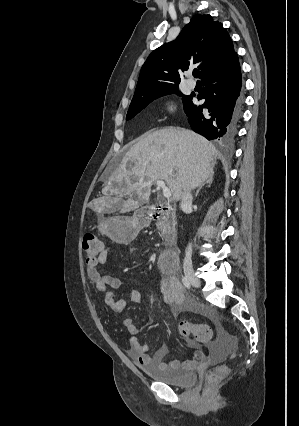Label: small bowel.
Listing matches in <instances>:
<instances>
[{"mask_svg":"<svg viewBox=\"0 0 299 426\" xmlns=\"http://www.w3.org/2000/svg\"><path fill=\"white\" fill-rule=\"evenodd\" d=\"M110 252L111 247H104L99 255L97 264L93 266H87V274L97 291L102 293L104 303L113 312L117 314H123L128 301L134 304H140L142 302V297L141 294L135 289L129 290L125 297H115L113 290L121 287V280L118 277L105 273L99 268V266L106 263ZM159 289L164 302L170 305L174 314L186 311L198 312L210 318L217 325V321L214 315L209 310L198 305L185 294L180 281L175 275V272L172 274L163 272L159 282ZM122 323L130 334L129 355L141 365L152 364L158 368L180 367L184 369H193L200 365L206 364L209 360L204 349L201 347L199 342L196 341H189L187 343L189 347L195 349L192 358L188 360H165L169 354V350L166 346L160 347L153 355H151L149 353V346L140 342L139 340L140 330L137 327L135 321L128 317L125 318ZM206 346L208 350H213L212 344H207Z\"/></svg>","mask_w":299,"mask_h":426,"instance_id":"c3829d8e","label":"small bowel"}]
</instances>
